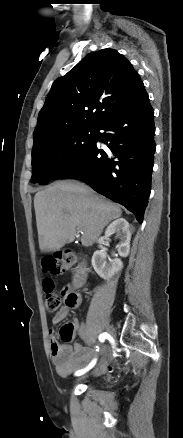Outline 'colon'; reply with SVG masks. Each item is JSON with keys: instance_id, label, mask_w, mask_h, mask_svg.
I'll list each match as a JSON object with an SVG mask.
<instances>
[{"instance_id": "5ec220e1", "label": "colon", "mask_w": 183, "mask_h": 438, "mask_svg": "<svg viewBox=\"0 0 183 438\" xmlns=\"http://www.w3.org/2000/svg\"><path fill=\"white\" fill-rule=\"evenodd\" d=\"M77 257L70 250L60 251L52 256H48L42 260L43 270L51 275H57L64 272L67 268L75 264ZM54 282L51 279H46L43 282L45 292V308L48 312H55L61 304L59 295L55 293ZM65 302L73 305L78 301V294L72 291L64 292ZM75 330L71 323L63 325L59 331V335L64 341H71L74 338Z\"/></svg>"}]
</instances>
